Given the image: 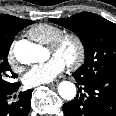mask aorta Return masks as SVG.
I'll list each match as a JSON object with an SVG mask.
<instances>
[{"mask_svg": "<svg viewBox=\"0 0 116 116\" xmlns=\"http://www.w3.org/2000/svg\"><path fill=\"white\" fill-rule=\"evenodd\" d=\"M15 58L22 64L43 62L47 59L46 50L27 40H20L14 45ZM59 95L65 100H72L76 96V87L69 81H63L58 86Z\"/></svg>", "mask_w": 116, "mask_h": 116, "instance_id": "obj_1", "label": "aorta"}]
</instances>
